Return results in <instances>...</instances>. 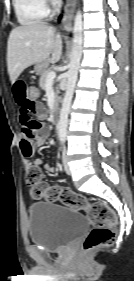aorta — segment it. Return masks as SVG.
Returning a JSON list of instances; mask_svg holds the SVG:
<instances>
[{"label": "aorta", "instance_id": "762f6f07", "mask_svg": "<svg viewBox=\"0 0 134 281\" xmlns=\"http://www.w3.org/2000/svg\"><path fill=\"white\" fill-rule=\"evenodd\" d=\"M83 45V21L82 13L77 11L73 27V46L71 51L70 68L67 74L66 92L62 101V108L60 111V119L58 123V132L60 137H65L68 126V115L74 94V89L78 77V70L80 67V60L82 56Z\"/></svg>", "mask_w": 134, "mask_h": 281}]
</instances>
